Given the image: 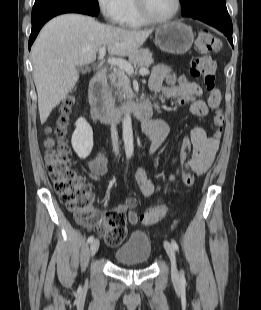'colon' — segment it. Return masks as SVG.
<instances>
[{
	"mask_svg": "<svg viewBox=\"0 0 261 310\" xmlns=\"http://www.w3.org/2000/svg\"><path fill=\"white\" fill-rule=\"evenodd\" d=\"M195 46L200 55L191 59L190 72L195 77H203L204 85L209 91L207 103L214 110L213 122L216 126L214 137L220 138L224 124V115L219 109L222 97L220 90L215 85L216 62L210 53L218 52L221 42L208 29H200ZM73 102L72 97H67L59 110V116L55 123L47 128L48 138L45 142L47 169L62 204L74 214L80 224L91 228L97 227L106 244L115 247L120 245L127 235V218L124 213L110 211L99 222L91 209L90 188L72 166L71 151L65 140L68 114ZM191 152V144L185 140L181 146L183 165L189 160ZM183 180L186 186H191L194 182L192 173L185 170ZM167 211L166 205H158L144 212L140 219L144 224L150 225L163 218Z\"/></svg>",
	"mask_w": 261,
	"mask_h": 310,
	"instance_id": "5ec220e1",
	"label": "colon"
}]
</instances>
